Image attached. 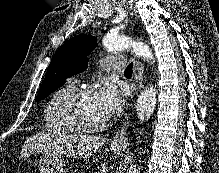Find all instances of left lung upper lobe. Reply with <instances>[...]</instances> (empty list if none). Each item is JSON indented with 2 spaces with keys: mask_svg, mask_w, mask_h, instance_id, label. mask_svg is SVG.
<instances>
[{
  "mask_svg": "<svg viewBox=\"0 0 219 173\" xmlns=\"http://www.w3.org/2000/svg\"><path fill=\"white\" fill-rule=\"evenodd\" d=\"M96 39L91 35L81 34L71 38L54 54L44 82L35 101H40L60 88L65 79L83 72L88 65L87 54L96 46Z\"/></svg>",
  "mask_w": 219,
  "mask_h": 173,
  "instance_id": "left-lung-upper-lobe-1",
  "label": "left lung upper lobe"
}]
</instances>
